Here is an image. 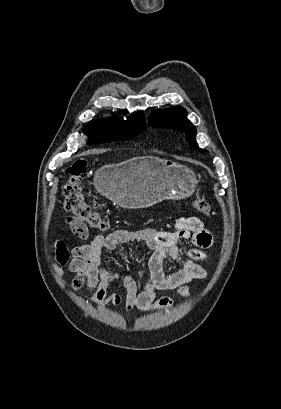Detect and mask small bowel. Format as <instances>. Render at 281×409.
<instances>
[{"mask_svg": "<svg viewBox=\"0 0 281 409\" xmlns=\"http://www.w3.org/2000/svg\"><path fill=\"white\" fill-rule=\"evenodd\" d=\"M73 233L82 240L88 238L87 227L74 217L67 218ZM142 241L152 251L146 267V282L138 291L137 281L130 275L111 271L103 262L104 251H113L117 246ZM191 241L197 248H186ZM213 237L197 217H181L167 229L141 228L137 230H115L109 234L96 235L91 242L68 250L63 241L53 242L59 265H67L75 273L72 286L83 289L96 304H111L119 307L124 303L126 314L135 309L140 311L167 310L174 301L169 296L156 297V291L177 290L181 296L188 295V284L204 279L208 269L198 262L207 261L206 250L211 247ZM171 260L179 269L166 273L164 262ZM62 275L60 267H55ZM120 281L127 291L125 300L116 293L109 294V286Z\"/></svg>", "mask_w": 281, "mask_h": 409, "instance_id": "1", "label": "small bowel"}]
</instances>
